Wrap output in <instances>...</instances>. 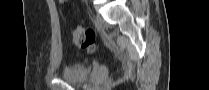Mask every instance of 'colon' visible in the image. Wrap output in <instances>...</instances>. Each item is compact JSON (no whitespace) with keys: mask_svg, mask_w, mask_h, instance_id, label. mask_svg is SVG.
Wrapping results in <instances>:
<instances>
[{"mask_svg":"<svg viewBox=\"0 0 209 90\" xmlns=\"http://www.w3.org/2000/svg\"><path fill=\"white\" fill-rule=\"evenodd\" d=\"M71 40L75 46L82 50L93 51L96 47L95 32L87 27H75L72 30Z\"/></svg>","mask_w":209,"mask_h":90,"instance_id":"5ec220e1","label":"colon"}]
</instances>
